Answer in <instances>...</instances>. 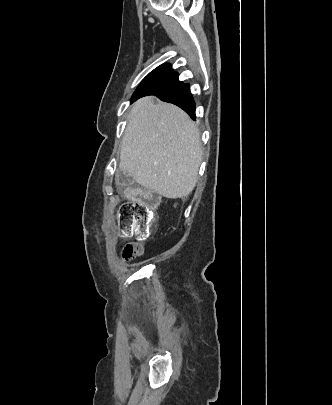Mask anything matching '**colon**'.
<instances>
[{"instance_id":"5ec220e1","label":"colon","mask_w":332,"mask_h":405,"mask_svg":"<svg viewBox=\"0 0 332 405\" xmlns=\"http://www.w3.org/2000/svg\"><path fill=\"white\" fill-rule=\"evenodd\" d=\"M158 196L147 189L140 190L133 200L122 202L117 209V220L125 235L145 236L155 224L154 212ZM143 246L140 243H128L123 247L122 257L125 261L141 256Z\"/></svg>"}]
</instances>
